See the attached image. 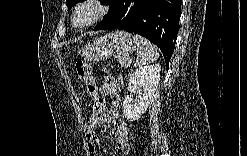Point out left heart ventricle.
<instances>
[{"instance_id": "1", "label": "left heart ventricle", "mask_w": 247, "mask_h": 156, "mask_svg": "<svg viewBox=\"0 0 247 156\" xmlns=\"http://www.w3.org/2000/svg\"><path fill=\"white\" fill-rule=\"evenodd\" d=\"M94 13L95 10L92 7H84L78 12L76 22L78 24H83L90 20L93 17Z\"/></svg>"}]
</instances>
